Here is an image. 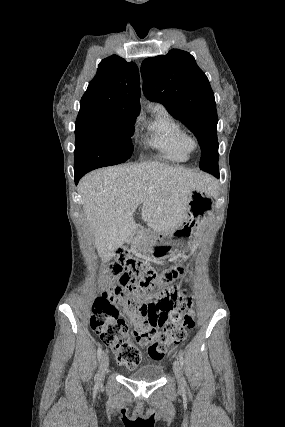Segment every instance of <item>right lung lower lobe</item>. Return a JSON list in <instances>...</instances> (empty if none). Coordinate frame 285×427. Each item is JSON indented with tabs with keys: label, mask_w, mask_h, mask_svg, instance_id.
<instances>
[{
	"label": "right lung lower lobe",
	"mask_w": 285,
	"mask_h": 427,
	"mask_svg": "<svg viewBox=\"0 0 285 427\" xmlns=\"http://www.w3.org/2000/svg\"><path fill=\"white\" fill-rule=\"evenodd\" d=\"M86 173L87 172H85V171H74L75 183L77 184L79 179Z\"/></svg>",
	"instance_id": "right-lung-lower-lobe-1"
}]
</instances>
